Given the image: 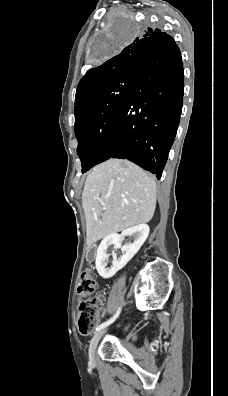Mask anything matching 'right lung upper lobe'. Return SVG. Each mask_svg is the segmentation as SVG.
I'll return each mask as SVG.
<instances>
[{
	"instance_id": "1",
	"label": "right lung upper lobe",
	"mask_w": 228,
	"mask_h": 396,
	"mask_svg": "<svg viewBox=\"0 0 228 396\" xmlns=\"http://www.w3.org/2000/svg\"><path fill=\"white\" fill-rule=\"evenodd\" d=\"M169 39H172L171 36L159 29L146 28L119 54L102 65L90 69L77 87L75 115L89 95L118 76L136 73L141 61L155 48L162 46L166 48Z\"/></svg>"
}]
</instances>
